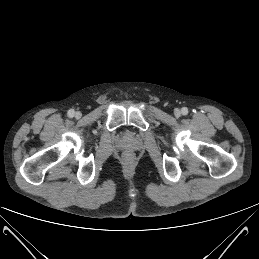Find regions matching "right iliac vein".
Listing matches in <instances>:
<instances>
[{"label": "right iliac vein", "mask_w": 259, "mask_h": 259, "mask_svg": "<svg viewBox=\"0 0 259 259\" xmlns=\"http://www.w3.org/2000/svg\"><path fill=\"white\" fill-rule=\"evenodd\" d=\"M75 117H76V118H80V117H81V113H80V112H76V113H75Z\"/></svg>", "instance_id": "63e3f726"}]
</instances>
